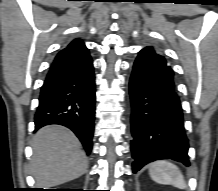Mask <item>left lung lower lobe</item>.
Returning a JSON list of instances; mask_svg holds the SVG:
<instances>
[{
	"mask_svg": "<svg viewBox=\"0 0 218 191\" xmlns=\"http://www.w3.org/2000/svg\"><path fill=\"white\" fill-rule=\"evenodd\" d=\"M133 173L158 159L189 166L188 139L174 73L141 50L130 79Z\"/></svg>",
	"mask_w": 218,
	"mask_h": 191,
	"instance_id": "obj_1",
	"label": "left lung lower lobe"
}]
</instances>
